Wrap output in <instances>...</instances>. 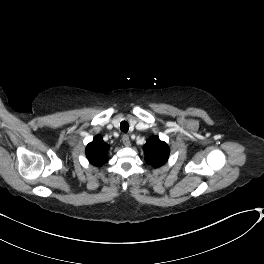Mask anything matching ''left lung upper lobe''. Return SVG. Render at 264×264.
I'll use <instances>...</instances> for the list:
<instances>
[{
	"instance_id": "1",
	"label": "left lung upper lobe",
	"mask_w": 264,
	"mask_h": 264,
	"mask_svg": "<svg viewBox=\"0 0 264 264\" xmlns=\"http://www.w3.org/2000/svg\"><path fill=\"white\" fill-rule=\"evenodd\" d=\"M146 152V162L153 167L162 166L169 157V147L163 141H160L157 136H152L144 145Z\"/></svg>"
}]
</instances>
